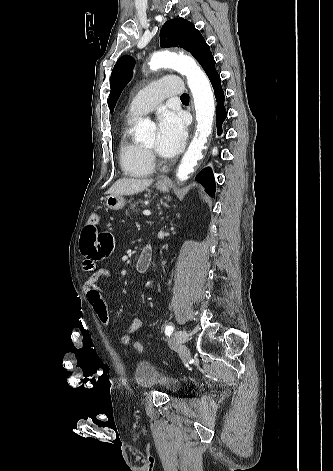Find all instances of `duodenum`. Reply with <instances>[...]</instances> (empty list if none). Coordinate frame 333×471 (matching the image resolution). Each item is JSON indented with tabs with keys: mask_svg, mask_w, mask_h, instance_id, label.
Returning a JSON list of instances; mask_svg holds the SVG:
<instances>
[{
	"mask_svg": "<svg viewBox=\"0 0 333 471\" xmlns=\"http://www.w3.org/2000/svg\"><path fill=\"white\" fill-rule=\"evenodd\" d=\"M152 262V249L150 246L143 248L141 254L135 261V269L138 272H145Z\"/></svg>",
	"mask_w": 333,
	"mask_h": 471,
	"instance_id": "obj_1",
	"label": "duodenum"
}]
</instances>
